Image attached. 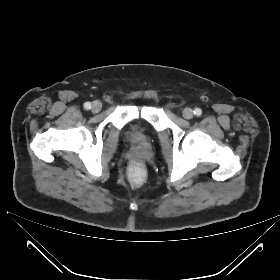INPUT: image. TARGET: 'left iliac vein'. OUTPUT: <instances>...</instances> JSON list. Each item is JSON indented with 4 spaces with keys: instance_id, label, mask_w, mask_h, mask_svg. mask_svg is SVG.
<instances>
[{
    "instance_id": "4c4485c4",
    "label": "left iliac vein",
    "mask_w": 280,
    "mask_h": 280,
    "mask_svg": "<svg viewBox=\"0 0 280 280\" xmlns=\"http://www.w3.org/2000/svg\"><path fill=\"white\" fill-rule=\"evenodd\" d=\"M193 116H194V112H193L192 109H190V108H185V109L183 110V117H184L185 119H192Z\"/></svg>"
}]
</instances>
